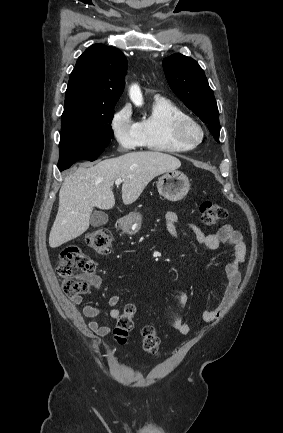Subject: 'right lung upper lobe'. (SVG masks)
<instances>
[{
  "label": "right lung upper lobe",
  "mask_w": 283,
  "mask_h": 433,
  "mask_svg": "<svg viewBox=\"0 0 283 433\" xmlns=\"http://www.w3.org/2000/svg\"><path fill=\"white\" fill-rule=\"evenodd\" d=\"M127 60L117 48L90 46L77 60L65 95V108L116 104L124 89Z\"/></svg>",
  "instance_id": "obj_1"
}]
</instances>
